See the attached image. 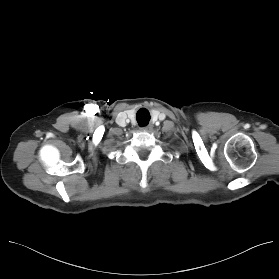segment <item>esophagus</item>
<instances>
[{"instance_id":"1","label":"esophagus","mask_w":279,"mask_h":279,"mask_svg":"<svg viewBox=\"0 0 279 279\" xmlns=\"http://www.w3.org/2000/svg\"><path fill=\"white\" fill-rule=\"evenodd\" d=\"M142 131H150L152 129V125H147L140 128Z\"/></svg>"}]
</instances>
